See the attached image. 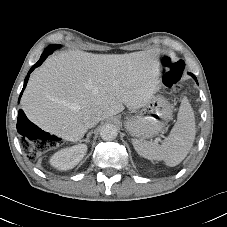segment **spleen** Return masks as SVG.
Returning <instances> with one entry per match:
<instances>
[{
	"mask_svg": "<svg viewBox=\"0 0 227 227\" xmlns=\"http://www.w3.org/2000/svg\"><path fill=\"white\" fill-rule=\"evenodd\" d=\"M196 128L193 109L187 97L181 101L177 122L168 137L161 145L157 142L132 140L137 153L149 160H163L167 166L173 167L184 160L193 146Z\"/></svg>",
	"mask_w": 227,
	"mask_h": 227,
	"instance_id": "1",
	"label": "spleen"
}]
</instances>
